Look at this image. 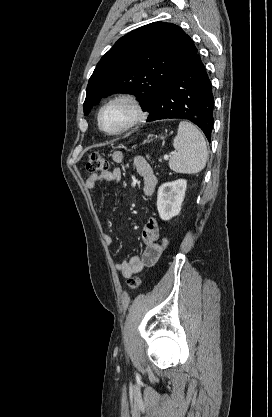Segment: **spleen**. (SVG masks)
I'll use <instances>...</instances> for the list:
<instances>
[{"label":"spleen","instance_id":"spleen-1","mask_svg":"<svg viewBox=\"0 0 272 417\" xmlns=\"http://www.w3.org/2000/svg\"><path fill=\"white\" fill-rule=\"evenodd\" d=\"M175 152L169 167L176 173L195 174L202 171L208 159L206 141L197 127L181 121L173 141Z\"/></svg>","mask_w":272,"mask_h":417}]
</instances>
